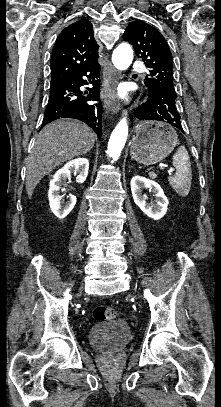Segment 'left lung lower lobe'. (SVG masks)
Wrapping results in <instances>:
<instances>
[{
  "mask_svg": "<svg viewBox=\"0 0 221 407\" xmlns=\"http://www.w3.org/2000/svg\"><path fill=\"white\" fill-rule=\"evenodd\" d=\"M135 118L166 122L183 132L181 117L176 106V93L168 86L158 85L149 90L147 101L137 108Z\"/></svg>",
  "mask_w": 221,
  "mask_h": 407,
  "instance_id": "0a47b994",
  "label": "left lung lower lobe"
}]
</instances>
